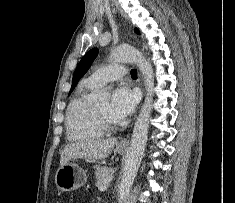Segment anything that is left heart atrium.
I'll use <instances>...</instances> for the list:
<instances>
[{
	"label": "left heart atrium",
	"mask_w": 235,
	"mask_h": 203,
	"mask_svg": "<svg viewBox=\"0 0 235 203\" xmlns=\"http://www.w3.org/2000/svg\"><path fill=\"white\" fill-rule=\"evenodd\" d=\"M137 94L126 86H119L112 95L109 114L117 121H123L132 114L136 106Z\"/></svg>",
	"instance_id": "1"
}]
</instances>
